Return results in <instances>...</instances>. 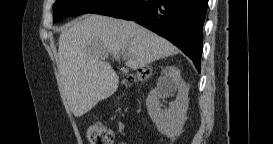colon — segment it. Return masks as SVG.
<instances>
[{"mask_svg": "<svg viewBox=\"0 0 273 144\" xmlns=\"http://www.w3.org/2000/svg\"><path fill=\"white\" fill-rule=\"evenodd\" d=\"M150 71L148 69H142L138 71L134 76L129 77L128 84L133 82L142 81L148 78ZM87 138L91 144H111L113 142V133L111 129L102 123L91 124L87 129Z\"/></svg>", "mask_w": 273, "mask_h": 144, "instance_id": "1", "label": "colon"}]
</instances>
